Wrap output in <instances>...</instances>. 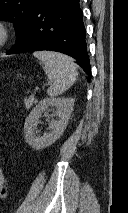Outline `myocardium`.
Wrapping results in <instances>:
<instances>
[{
    "mask_svg": "<svg viewBox=\"0 0 128 213\" xmlns=\"http://www.w3.org/2000/svg\"><path fill=\"white\" fill-rule=\"evenodd\" d=\"M11 37V29L7 22L0 20V47L6 45Z\"/></svg>",
    "mask_w": 128,
    "mask_h": 213,
    "instance_id": "1",
    "label": "myocardium"
}]
</instances>
